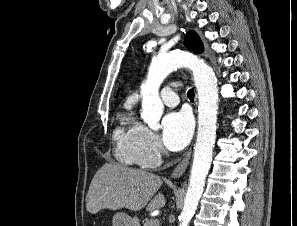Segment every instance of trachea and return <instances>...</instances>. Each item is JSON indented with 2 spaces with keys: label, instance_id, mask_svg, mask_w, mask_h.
Returning a JSON list of instances; mask_svg holds the SVG:
<instances>
[{
  "label": "trachea",
  "instance_id": "trachea-1",
  "mask_svg": "<svg viewBox=\"0 0 297 226\" xmlns=\"http://www.w3.org/2000/svg\"><path fill=\"white\" fill-rule=\"evenodd\" d=\"M187 95H188V98L193 101L194 100V89H190L188 92H187Z\"/></svg>",
  "mask_w": 297,
  "mask_h": 226
}]
</instances>
